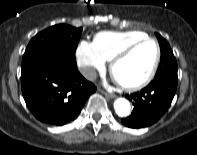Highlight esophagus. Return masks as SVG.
<instances>
[{"label": "esophagus", "instance_id": "34e87169", "mask_svg": "<svg viewBox=\"0 0 197 155\" xmlns=\"http://www.w3.org/2000/svg\"><path fill=\"white\" fill-rule=\"evenodd\" d=\"M101 93H103L106 97H109V98H115V95L114 94H111V93H107L103 90H100Z\"/></svg>", "mask_w": 197, "mask_h": 155}]
</instances>
